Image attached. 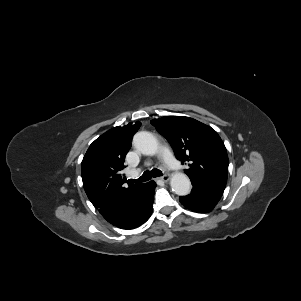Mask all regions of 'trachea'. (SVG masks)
Listing matches in <instances>:
<instances>
[{
	"label": "trachea",
	"instance_id": "obj_1",
	"mask_svg": "<svg viewBox=\"0 0 301 301\" xmlns=\"http://www.w3.org/2000/svg\"><path fill=\"white\" fill-rule=\"evenodd\" d=\"M163 173L158 169H152L151 171H145L143 175L135 180L130 179V182L141 183L150 180L152 177H160Z\"/></svg>",
	"mask_w": 301,
	"mask_h": 301
}]
</instances>
